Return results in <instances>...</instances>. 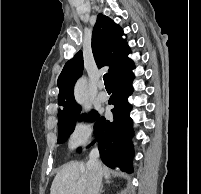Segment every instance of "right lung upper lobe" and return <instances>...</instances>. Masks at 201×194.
I'll list each match as a JSON object with an SVG mask.
<instances>
[{"mask_svg": "<svg viewBox=\"0 0 201 194\" xmlns=\"http://www.w3.org/2000/svg\"><path fill=\"white\" fill-rule=\"evenodd\" d=\"M123 30L109 17L98 14L92 33V51L99 68L109 66L111 81L127 70L133 61L128 58L130 48L121 38ZM83 72V55L79 51L64 66L58 77V103L62 109L58 112V119L67 117L80 107L73 95L74 84Z\"/></svg>", "mask_w": 201, "mask_h": 194, "instance_id": "1", "label": "right lung upper lobe"}]
</instances>
